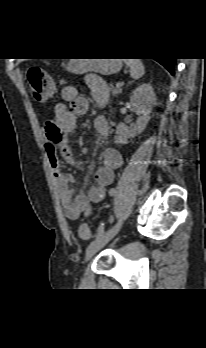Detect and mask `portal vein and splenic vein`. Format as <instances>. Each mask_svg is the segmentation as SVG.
Listing matches in <instances>:
<instances>
[{
    "mask_svg": "<svg viewBox=\"0 0 206 348\" xmlns=\"http://www.w3.org/2000/svg\"><path fill=\"white\" fill-rule=\"evenodd\" d=\"M122 85H123L122 82H118V83L116 84L117 87H121Z\"/></svg>",
    "mask_w": 206,
    "mask_h": 348,
    "instance_id": "obj_1",
    "label": "portal vein and splenic vein"
}]
</instances>
